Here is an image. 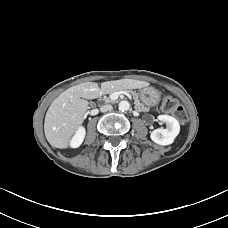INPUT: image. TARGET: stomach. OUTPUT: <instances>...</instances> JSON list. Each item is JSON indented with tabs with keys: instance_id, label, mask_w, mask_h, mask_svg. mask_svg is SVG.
Here are the masks:
<instances>
[{
	"instance_id": "0dacf381",
	"label": "stomach",
	"mask_w": 228,
	"mask_h": 228,
	"mask_svg": "<svg viewBox=\"0 0 228 228\" xmlns=\"http://www.w3.org/2000/svg\"><path fill=\"white\" fill-rule=\"evenodd\" d=\"M139 98L144 105L150 107L156 105L160 101L161 94L153 87L147 86L139 90Z\"/></svg>"
}]
</instances>
